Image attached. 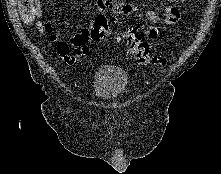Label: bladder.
Instances as JSON below:
<instances>
[{"label":"bladder","mask_w":221,"mask_h":174,"mask_svg":"<svg viewBox=\"0 0 221 174\" xmlns=\"http://www.w3.org/2000/svg\"><path fill=\"white\" fill-rule=\"evenodd\" d=\"M127 73L113 65L101 67L94 77L96 96L104 101H112L119 98L127 89Z\"/></svg>","instance_id":"1"}]
</instances>
